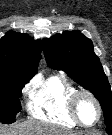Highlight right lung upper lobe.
I'll use <instances>...</instances> for the list:
<instances>
[{
  "label": "right lung upper lobe",
  "mask_w": 112,
  "mask_h": 135,
  "mask_svg": "<svg viewBox=\"0 0 112 135\" xmlns=\"http://www.w3.org/2000/svg\"><path fill=\"white\" fill-rule=\"evenodd\" d=\"M42 43L28 35L10 31L0 39V77L22 74L32 78L41 58Z\"/></svg>",
  "instance_id": "obj_1"
}]
</instances>
